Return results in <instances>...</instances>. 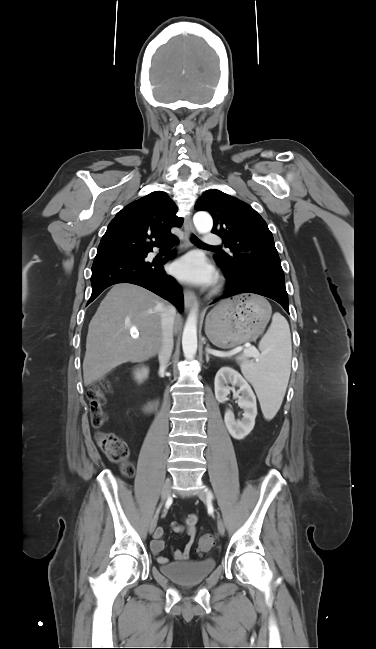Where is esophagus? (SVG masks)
Wrapping results in <instances>:
<instances>
[{
  "instance_id": "obj_1",
  "label": "esophagus",
  "mask_w": 376,
  "mask_h": 649,
  "mask_svg": "<svg viewBox=\"0 0 376 649\" xmlns=\"http://www.w3.org/2000/svg\"><path fill=\"white\" fill-rule=\"evenodd\" d=\"M184 231H185V238L187 241H189L190 237L192 234L195 233L194 226L192 224L190 216H187L184 221ZM184 303H185V308L187 310H190L196 303V295L193 291L191 290H185L184 292Z\"/></svg>"
}]
</instances>
